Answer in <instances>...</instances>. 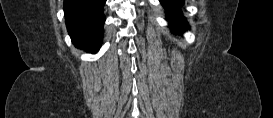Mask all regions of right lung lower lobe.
Here are the masks:
<instances>
[{"label": "right lung lower lobe", "mask_w": 273, "mask_h": 118, "mask_svg": "<svg viewBox=\"0 0 273 118\" xmlns=\"http://www.w3.org/2000/svg\"><path fill=\"white\" fill-rule=\"evenodd\" d=\"M106 0H64V14L73 44L92 52L99 50L103 38Z\"/></svg>", "instance_id": "1"}]
</instances>
